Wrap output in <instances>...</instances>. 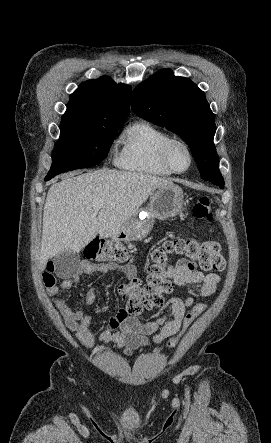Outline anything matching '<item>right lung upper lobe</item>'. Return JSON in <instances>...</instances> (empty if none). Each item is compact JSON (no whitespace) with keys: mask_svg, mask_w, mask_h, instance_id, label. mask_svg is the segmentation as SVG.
<instances>
[{"mask_svg":"<svg viewBox=\"0 0 271 443\" xmlns=\"http://www.w3.org/2000/svg\"><path fill=\"white\" fill-rule=\"evenodd\" d=\"M131 87L109 77L81 83L71 94L65 114L86 118L126 117Z\"/></svg>","mask_w":271,"mask_h":443,"instance_id":"cb5924a9","label":"right lung upper lobe"}]
</instances>
